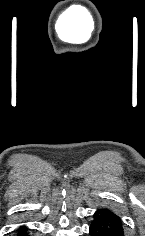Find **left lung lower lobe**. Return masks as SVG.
<instances>
[{"instance_id": "left-lung-lower-lobe-1", "label": "left lung lower lobe", "mask_w": 145, "mask_h": 236, "mask_svg": "<svg viewBox=\"0 0 145 236\" xmlns=\"http://www.w3.org/2000/svg\"><path fill=\"white\" fill-rule=\"evenodd\" d=\"M91 236H124L120 217L107 209H98L89 229Z\"/></svg>"}]
</instances>
